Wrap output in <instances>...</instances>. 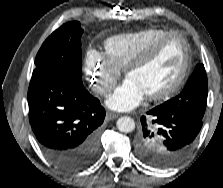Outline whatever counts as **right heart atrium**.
Returning a JSON list of instances; mask_svg holds the SVG:
<instances>
[{
  "label": "right heart atrium",
  "mask_w": 223,
  "mask_h": 188,
  "mask_svg": "<svg viewBox=\"0 0 223 188\" xmlns=\"http://www.w3.org/2000/svg\"><path fill=\"white\" fill-rule=\"evenodd\" d=\"M84 73L92 90L104 96L115 87L121 71L105 53L89 50L84 61Z\"/></svg>",
  "instance_id": "1"
}]
</instances>
